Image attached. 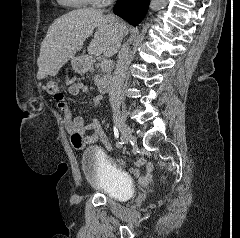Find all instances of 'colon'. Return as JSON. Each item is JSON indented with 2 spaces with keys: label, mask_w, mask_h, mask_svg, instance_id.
Here are the masks:
<instances>
[{
  "label": "colon",
  "mask_w": 240,
  "mask_h": 238,
  "mask_svg": "<svg viewBox=\"0 0 240 238\" xmlns=\"http://www.w3.org/2000/svg\"><path fill=\"white\" fill-rule=\"evenodd\" d=\"M72 84V83H71ZM45 91L54 96L58 101H60L63 97V94L60 91L58 84L55 81L49 80L44 84ZM72 140L75 144H81L82 137L79 134H76L72 137Z\"/></svg>",
  "instance_id": "obj_1"
}]
</instances>
